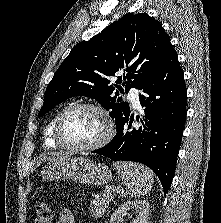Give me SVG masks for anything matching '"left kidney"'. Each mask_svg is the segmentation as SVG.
<instances>
[{
  "mask_svg": "<svg viewBox=\"0 0 221 223\" xmlns=\"http://www.w3.org/2000/svg\"><path fill=\"white\" fill-rule=\"evenodd\" d=\"M149 209V203L145 200L127 201L115 210L111 216L110 223H123V215L128 211H135L137 213L132 223H148Z\"/></svg>",
  "mask_w": 221,
  "mask_h": 223,
  "instance_id": "obj_1",
  "label": "left kidney"
}]
</instances>
